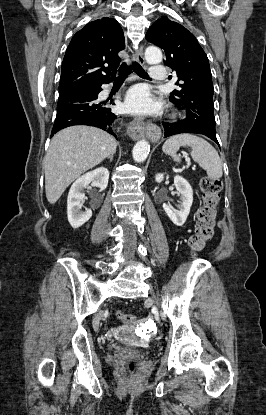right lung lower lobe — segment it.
<instances>
[{"label":"right lung lower lobe","mask_w":266,"mask_h":415,"mask_svg":"<svg viewBox=\"0 0 266 415\" xmlns=\"http://www.w3.org/2000/svg\"><path fill=\"white\" fill-rule=\"evenodd\" d=\"M101 90V85H95L77 92L59 95L51 136L69 126L89 125L101 128L116 137L113 125L119 116L112 113L108 107L109 104L114 105L112 100L109 103L97 100Z\"/></svg>","instance_id":"98d812e1"}]
</instances>
